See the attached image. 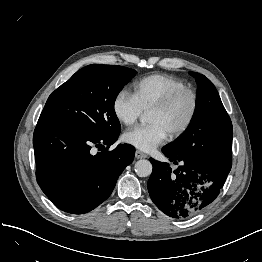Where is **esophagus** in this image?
Wrapping results in <instances>:
<instances>
[{
  "instance_id": "1",
  "label": "esophagus",
  "mask_w": 262,
  "mask_h": 262,
  "mask_svg": "<svg viewBox=\"0 0 262 262\" xmlns=\"http://www.w3.org/2000/svg\"><path fill=\"white\" fill-rule=\"evenodd\" d=\"M135 157L136 159H143V158H147V155L139 150H136Z\"/></svg>"
}]
</instances>
